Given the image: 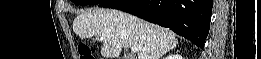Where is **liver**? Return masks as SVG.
Listing matches in <instances>:
<instances>
[{"label":"liver","mask_w":261,"mask_h":59,"mask_svg":"<svg viewBox=\"0 0 261 59\" xmlns=\"http://www.w3.org/2000/svg\"><path fill=\"white\" fill-rule=\"evenodd\" d=\"M73 31L82 38L102 37L101 55L106 59L119 57L122 48L137 47L131 59H161L178 40L166 29L136 16L115 9L88 10L73 21Z\"/></svg>","instance_id":"6515ba94"}]
</instances>
